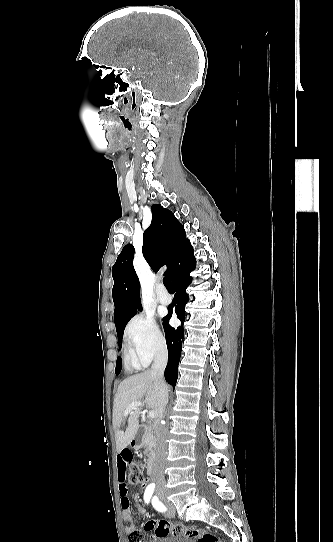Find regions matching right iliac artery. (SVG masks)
<instances>
[{
	"instance_id": "82829eb1",
	"label": "right iliac artery",
	"mask_w": 333,
	"mask_h": 542,
	"mask_svg": "<svg viewBox=\"0 0 333 542\" xmlns=\"http://www.w3.org/2000/svg\"><path fill=\"white\" fill-rule=\"evenodd\" d=\"M154 488H155V485H149L146 490H145V493H144V501L146 503H149L150 499H151V496L153 494V491H154ZM156 499H158L156 497Z\"/></svg>"
}]
</instances>
